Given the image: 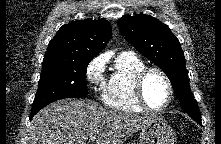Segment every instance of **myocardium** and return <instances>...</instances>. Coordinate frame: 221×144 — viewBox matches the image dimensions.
I'll list each match as a JSON object with an SVG mask.
<instances>
[{
  "instance_id": "f54148a6",
  "label": "myocardium",
  "mask_w": 221,
  "mask_h": 144,
  "mask_svg": "<svg viewBox=\"0 0 221 144\" xmlns=\"http://www.w3.org/2000/svg\"><path fill=\"white\" fill-rule=\"evenodd\" d=\"M151 73L159 74L164 79L168 88L167 101L163 106L159 108H152L151 106H149L144 95V83L148 75ZM133 88H134L135 99L137 103L140 105V107H142L145 111L152 113H159L167 109L170 106L174 96V88L170 78L162 69L158 67L145 66L143 69H141L134 77Z\"/></svg>"
}]
</instances>
